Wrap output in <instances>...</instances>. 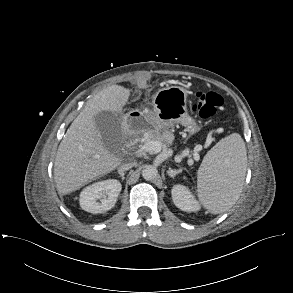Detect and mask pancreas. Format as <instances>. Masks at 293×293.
Returning <instances> with one entry per match:
<instances>
[{
	"mask_svg": "<svg viewBox=\"0 0 293 293\" xmlns=\"http://www.w3.org/2000/svg\"><path fill=\"white\" fill-rule=\"evenodd\" d=\"M146 140H154L170 145L172 143L173 135L169 131H149L146 132Z\"/></svg>",
	"mask_w": 293,
	"mask_h": 293,
	"instance_id": "1",
	"label": "pancreas"
}]
</instances>
